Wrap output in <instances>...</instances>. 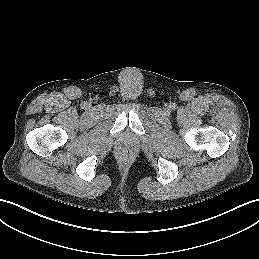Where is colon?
Returning a JSON list of instances; mask_svg holds the SVG:
<instances>
[{"label":"colon","mask_w":259,"mask_h":259,"mask_svg":"<svg viewBox=\"0 0 259 259\" xmlns=\"http://www.w3.org/2000/svg\"><path fill=\"white\" fill-rule=\"evenodd\" d=\"M123 155H124L125 157L130 156V155H131V151H130V150H125V151L123 152Z\"/></svg>","instance_id":"1"}]
</instances>
